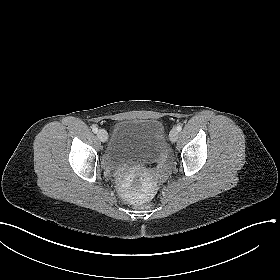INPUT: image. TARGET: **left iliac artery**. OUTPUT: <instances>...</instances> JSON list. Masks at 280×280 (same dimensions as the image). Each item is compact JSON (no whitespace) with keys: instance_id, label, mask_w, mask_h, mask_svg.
I'll list each match as a JSON object with an SVG mask.
<instances>
[{"instance_id":"left-iliac-artery-1","label":"left iliac artery","mask_w":280,"mask_h":280,"mask_svg":"<svg viewBox=\"0 0 280 280\" xmlns=\"http://www.w3.org/2000/svg\"><path fill=\"white\" fill-rule=\"evenodd\" d=\"M176 129H177L178 132H180V131L182 130V126H181V125H178V126L176 127Z\"/></svg>"}]
</instances>
